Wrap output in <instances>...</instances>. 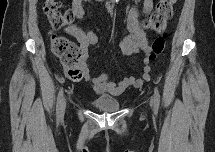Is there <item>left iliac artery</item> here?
I'll use <instances>...</instances> for the list:
<instances>
[{
    "instance_id": "obj_1",
    "label": "left iliac artery",
    "mask_w": 215,
    "mask_h": 152,
    "mask_svg": "<svg viewBox=\"0 0 215 152\" xmlns=\"http://www.w3.org/2000/svg\"><path fill=\"white\" fill-rule=\"evenodd\" d=\"M159 103H160L159 91H158L157 88H155V89H154V110H155V112L158 111Z\"/></svg>"
}]
</instances>
